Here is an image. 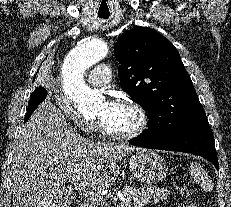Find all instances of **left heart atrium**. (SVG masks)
I'll use <instances>...</instances> for the list:
<instances>
[{
    "mask_svg": "<svg viewBox=\"0 0 231 207\" xmlns=\"http://www.w3.org/2000/svg\"><path fill=\"white\" fill-rule=\"evenodd\" d=\"M113 105H114V102L112 101H108L106 103V107H105V110H104V113L103 115L101 116V119H104L107 117V115L109 114V112L111 111V109L113 108Z\"/></svg>",
    "mask_w": 231,
    "mask_h": 207,
    "instance_id": "obj_1",
    "label": "left heart atrium"
}]
</instances>
